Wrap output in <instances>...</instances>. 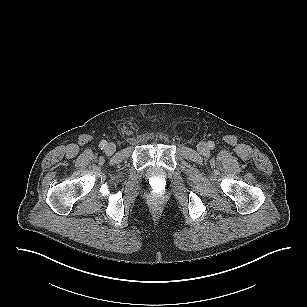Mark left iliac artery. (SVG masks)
I'll return each mask as SVG.
<instances>
[{
  "label": "left iliac artery",
  "mask_w": 307,
  "mask_h": 307,
  "mask_svg": "<svg viewBox=\"0 0 307 307\" xmlns=\"http://www.w3.org/2000/svg\"><path fill=\"white\" fill-rule=\"evenodd\" d=\"M208 147H209L210 149H214V147H215L214 142L209 141V142H208Z\"/></svg>",
  "instance_id": "obj_1"
}]
</instances>
